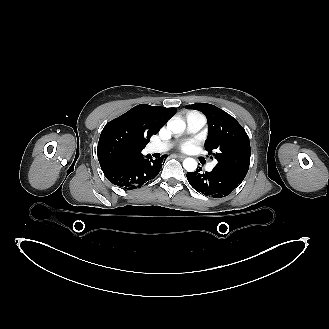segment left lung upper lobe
Masks as SVG:
<instances>
[{"label":"left lung upper lobe","instance_id":"5c2ea615","mask_svg":"<svg viewBox=\"0 0 329 329\" xmlns=\"http://www.w3.org/2000/svg\"><path fill=\"white\" fill-rule=\"evenodd\" d=\"M186 108L199 110L207 117L205 149L217 160L215 168L244 179L251 154L249 137L244 128L235 118L214 105L196 103Z\"/></svg>","mask_w":329,"mask_h":329}]
</instances>
